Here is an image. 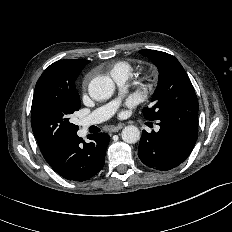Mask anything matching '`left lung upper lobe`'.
Segmentation results:
<instances>
[{"instance_id":"obj_1","label":"left lung upper lobe","mask_w":232,"mask_h":232,"mask_svg":"<svg viewBox=\"0 0 232 232\" xmlns=\"http://www.w3.org/2000/svg\"><path fill=\"white\" fill-rule=\"evenodd\" d=\"M139 53L150 58L159 71L158 85L151 100L153 105L143 109L147 120H158L163 115L179 109L198 111L194 87L174 56L148 49Z\"/></svg>"}]
</instances>
